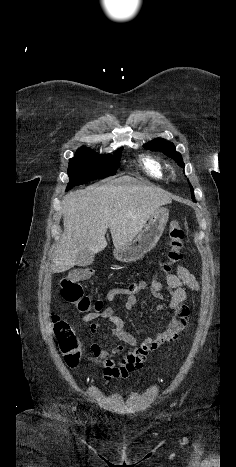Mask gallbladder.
I'll return each instance as SVG.
<instances>
[{
    "label": "gallbladder",
    "mask_w": 236,
    "mask_h": 467,
    "mask_svg": "<svg viewBox=\"0 0 236 467\" xmlns=\"http://www.w3.org/2000/svg\"><path fill=\"white\" fill-rule=\"evenodd\" d=\"M94 254L88 249H83L79 251L76 255V263L78 266L86 267L93 263Z\"/></svg>",
    "instance_id": "obj_1"
}]
</instances>
